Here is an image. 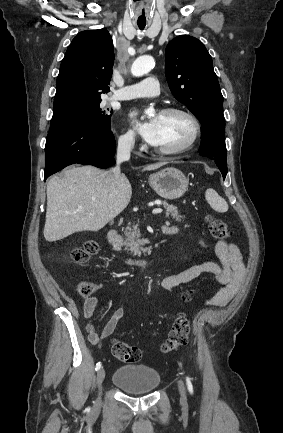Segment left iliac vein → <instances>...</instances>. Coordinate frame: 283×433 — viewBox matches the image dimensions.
I'll list each match as a JSON object with an SVG mask.
<instances>
[{
	"mask_svg": "<svg viewBox=\"0 0 283 433\" xmlns=\"http://www.w3.org/2000/svg\"><path fill=\"white\" fill-rule=\"evenodd\" d=\"M178 390L179 393L181 394V397L184 399L186 392H185V385L182 380H179L178 382Z\"/></svg>",
	"mask_w": 283,
	"mask_h": 433,
	"instance_id": "obj_1",
	"label": "left iliac vein"
}]
</instances>
